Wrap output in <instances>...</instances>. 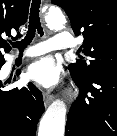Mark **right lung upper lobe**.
<instances>
[{"mask_svg": "<svg viewBox=\"0 0 117 136\" xmlns=\"http://www.w3.org/2000/svg\"><path fill=\"white\" fill-rule=\"evenodd\" d=\"M30 0H0V49L10 51V46L2 36H11V31H18L28 18ZM0 60L4 56L0 51Z\"/></svg>", "mask_w": 117, "mask_h": 136, "instance_id": "right-lung-upper-lobe-1", "label": "right lung upper lobe"}]
</instances>
